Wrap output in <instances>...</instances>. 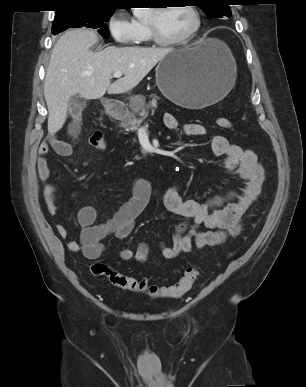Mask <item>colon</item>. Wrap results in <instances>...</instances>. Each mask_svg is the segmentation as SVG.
<instances>
[{
	"instance_id": "obj_1",
	"label": "colon",
	"mask_w": 306,
	"mask_h": 387,
	"mask_svg": "<svg viewBox=\"0 0 306 387\" xmlns=\"http://www.w3.org/2000/svg\"><path fill=\"white\" fill-rule=\"evenodd\" d=\"M216 125L223 129H232V122L224 117L216 119ZM89 145L95 149H103L106 146L105 138L101 132H94L89 137ZM90 271L95 276L106 277L115 287L123 290L142 293L151 297L178 298L187 293L198 278L199 271L196 267H188L175 283L168 286L151 284L146 279H137L124 275L114 270L103 262L91 264Z\"/></svg>"
}]
</instances>
